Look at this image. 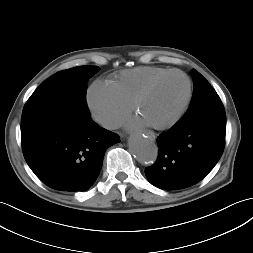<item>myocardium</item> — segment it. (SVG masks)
Returning <instances> with one entry per match:
<instances>
[{"instance_id":"myocardium-1","label":"myocardium","mask_w":253,"mask_h":253,"mask_svg":"<svg viewBox=\"0 0 253 253\" xmlns=\"http://www.w3.org/2000/svg\"><path fill=\"white\" fill-rule=\"evenodd\" d=\"M174 74H178L181 75L185 78L186 83H187V92H186V96L185 99L181 105V107L179 108L178 112L175 114V116L173 118H171L169 121L162 123V124H149L150 127L156 129V130H166L169 129L171 127H173L174 125H176L181 118L184 116L189 103L191 101L192 98V92H193V85H192V81L191 78L183 71L178 70V69H172L169 70L157 77H155L153 80H151L134 98L133 102H132V109L134 112L138 113V108L140 103L143 101V99L155 88V86L161 82L163 79L167 78L168 76L174 75Z\"/></svg>"}]
</instances>
